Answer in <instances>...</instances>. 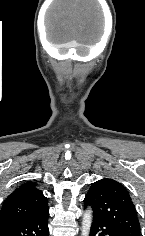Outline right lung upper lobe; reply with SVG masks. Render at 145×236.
I'll return each instance as SVG.
<instances>
[{"instance_id": "obj_1", "label": "right lung upper lobe", "mask_w": 145, "mask_h": 236, "mask_svg": "<svg viewBox=\"0 0 145 236\" xmlns=\"http://www.w3.org/2000/svg\"><path fill=\"white\" fill-rule=\"evenodd\" d=\"M48 210V203L35 183L27 182L17 188L5 200L0 211V225L31 217Z\"/></svg>"}]
</instances>
